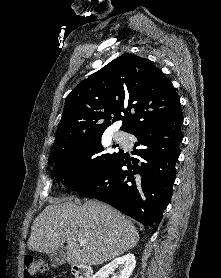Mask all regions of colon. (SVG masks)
Listing matches in <instances>:
<instances>
[{
  "label": "colon",
  "instance_id": "1",
  "mask_svg": "<svg viewBox=\"0 0 221 278\" xmlns=\"http://www.w3.org/2000/svg\"><path fill=\"white\" fill-rule=\"evenodd\" d=\"M47 270V266L33 258V257H26L24 259V277L25 278H41V274ZM55 278H66L63 275H58Z\"/></svg>",
  "mask_w": 221,
  "mask_h": 278
}]
</instances>
